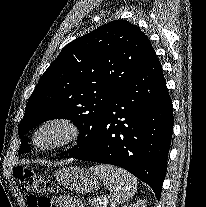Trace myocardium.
<instances>
[{"mask_svg":"<svg viewBox=\"0 0 206 207\" xmlns=\"http://www.w3.org/2000/svg\"><path fill=\"white\" fill-rule=\"evenodd\" d=\"M49 127L61 128L63 136L56 142L48 145H42L38 142V136ZM82 137L80 126L73 120L66 117H52L42 121L32 132L31 144L40 152H53L66 149L77 144Z\"/></svg>","mask_w":206,"mask_h":207,"instance_id":"myocardium-1","label":"myocardium"}]
</instances>
